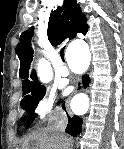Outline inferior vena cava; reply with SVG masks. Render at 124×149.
I'll use <instances>...</instances> for the list:
<instances>
[{
	"instance_id": "obj_1",
	"label": "inferior vena cava",
	"mask_w": 124,
	"mask_h": 149,
	"mask_svg": "<svg viewBox=\"0 0 124 149\" xmlns=\"http://www.w3.org/2000/svg\"><path fill=\"white\" fill-rule=\"evenodd\" d=\"M67 125V117L63 112H58L54 116V123L52 125V129L58 134V137L62 139H68V136H64V130Z\"/></svg>"
}]
</instances>
